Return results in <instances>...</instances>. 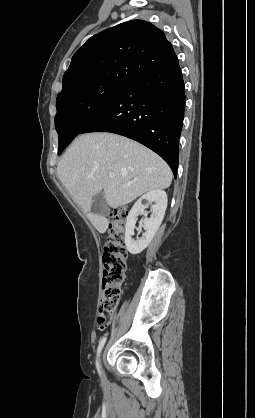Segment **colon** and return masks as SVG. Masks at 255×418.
Instances as JSON below:
<instances>
[{
  "mask_svg": "<svg viewBox=\"0 0 255 418\" xmlns=\"http://www.w3.org/2000/svg\"><path fill=\"white\" fill-rule=\"evenodd\" d=\"M127 219L126 207L117 208L111 213L110 232L102 257V298L98 315V323L101 326L104 325L106 314H112L116 309L121 284L126 278L128 252L125 247L124 230Z\"/></svg>",
  "mask_w": 255,
  "mask_h": 418,
  "instance_id": "1",
  "label": "colon"
}]
</instances>
